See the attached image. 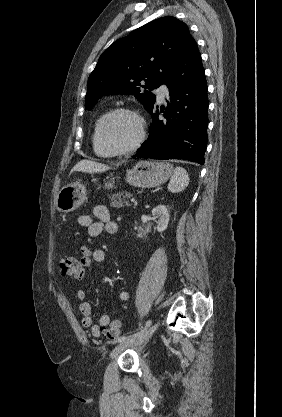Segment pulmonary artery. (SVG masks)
Masks as SVG:
<instances>
[{
	"mask_svg": "<svg viewBox=\"0 0 282 417\" xmlns=\"http://www.w3.org/2000/svg\"><path fill=\"white\" fill-rule=\"evenodd\" d=\"M167 95H168L167 87L165 85H162L158 90V98L162 100Z\"/></svg>",
	"mask_w": 282,
	"mask_h": 417,
	"instance_id": "1",
	"label": "pulmonary artery"
}]
</instances>
